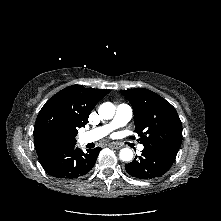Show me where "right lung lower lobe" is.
<instances>
[{
    "label": "right lung lower lobe",
    "instance_id": "right-lung-lower-lobe-1",
    "mask_svg": "<svg viewBox=\"0 0 221 221\" xmlns=\"http://www.w3.org/2000/svg\"><path fill=\"white\" fill-rule=\"evenodd\" d=\"M100 150V147H96L84 153L76 147V143L36 149L44 170L62 180H73L87 174L95 165Z\"/></svg>",
    "mask_w": 221,
    "mask_h": 221
}]
</instances>
